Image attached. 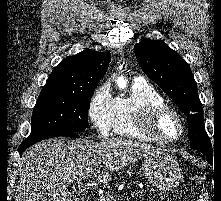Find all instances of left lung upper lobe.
Returning <instances> with one entry per match:
<instances>
[{
  "label": "left lung upper lobe",
  "mask_w": 221,
  "mask_h": 201,
  "mask_svg": "<svg viewBox=\"0 0 221 201\" xmlns=\"http://www.w3.org/2000/svg\"><path fill=\"white\" fill-rule=\"evenodd\" d=\"M139 65L187 115L191 146L206 156L213 150L203 122L197 84L188 63L163 41L144 40L134 46Z\"/></svg>",
  "instance_id": "1"
}]
</instances>
